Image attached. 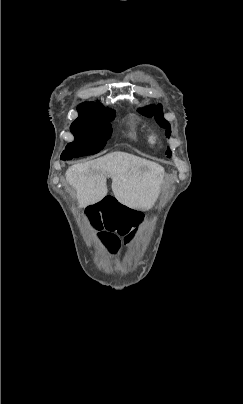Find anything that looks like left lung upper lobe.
Returning <instances> with one entry per match:
<instances>
[{
  "label": "left lung upper lobe",
  "mask_w": 243,
  "mask_h": 404,
  "mask_svg": "<svg viewBox=\"0 0 243 404\" xmlns=\"http://www.w3.org/2000/svg\"><path fill=\"white\" fill-rule=\"evenodd\" d=\"M140 113H142L145 116H149L152 117L154 116L157 123L162 127L166 129V136H170V128L168 125V121H166L163 118V113H162V106L160 104H158L157 106H149L147 108H144L142 110H139ZM166 154L168 155V157L171 156V151L167 150Z\"/></svg>",
  "instance_id": "left-lung-upper-lobe-1"
}]
</instances>
